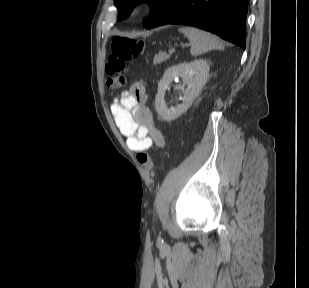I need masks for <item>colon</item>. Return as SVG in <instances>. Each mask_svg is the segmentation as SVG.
Wrapping results in <instances>:
<instances>
[{
	"instance_id": "5ec220e1",
	"label": "colon",
	"mask_w": 309,
	"mask_h": 288,
	"mask_svg": "<svg viewBox=\"0 0 309 288\" xmlns=\"http://www.w3.org/2000/svg\"><path fill=\"white\" fill-rule=\"evenodd\" d=\"M145 44L142 40L116 37L113 39L111 53L106 61L107 86L110 89H119L126 85V61L144 53ZM139 163L147 168L152 167V159L147 150L137 154Z\"/></svg>"
}]
</instances>
